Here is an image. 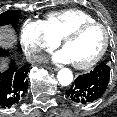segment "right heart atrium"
Returning <instances> with one entry per match:
<instances>
[{"mask_svg": "<svg viewBox=\"0 0 117 117\" xmlns=\"http://www.w3.org/2000/svg\"><path fill=\"white\" fill-rule=\"evenodd\" d=\"M20 41L26 57L33 63L40 62L45 52L59 44L43 21L27 20L20 32Z\"/></svg>", "mask_w": 117, "mask_h": 117, "instance_id": "obj_1", "label": "right heart atrium"}]
</instances>
